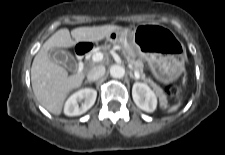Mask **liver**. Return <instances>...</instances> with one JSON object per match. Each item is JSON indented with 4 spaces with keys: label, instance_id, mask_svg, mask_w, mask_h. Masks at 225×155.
<instances>
[{
    "label": "liver",
    "instance_id": "1",
    "mask_svg": "<svg viewBox=\"0 0 225 155\" xmlns=\"http://www.w3.org/2000/svg\"><path fill=\"white\" fill-rule=\"evenodd\" d=\"M123 30L116 25L67 28L56 31L36 54L31 67V84L37 101L50 113L60 115L65 99L70 92L79 88L83 75H68L67 70L52 61L48 52L52 48H70L76 43H97L113 32ZM75 41L72 40V38Z\"/></svg>",
    "mask_w": 225,
    "mask_h": 155
}]
</instances>
